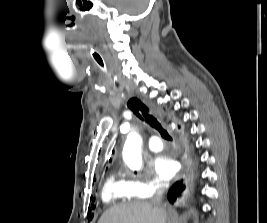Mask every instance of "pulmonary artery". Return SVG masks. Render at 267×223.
I'll use <instances>...</instances> for the list:
<instances>
[{"mask_svg": "<svg viewBox=\"0 0 267 223\" xmlns=\"http://www.w3.org/2000/svg\"><path fill=\"white\" fill-rule=\"evenodd\" d=\"M148 148L153 152L160 151L163 148V142L158 136H153L148 141Z\"/></svg>", "mask_w": 267, "mask_h": 223, "instance_id": "obj_1", "label": "pulmonary artery"}]
</instances>
